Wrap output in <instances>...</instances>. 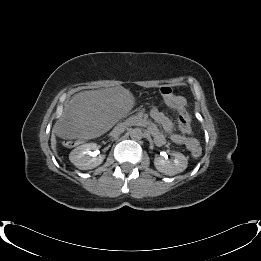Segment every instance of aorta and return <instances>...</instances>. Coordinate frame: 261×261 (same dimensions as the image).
Returning a JSON list of instances; mask_svg holds the SVG:
<instances>
[{
    "instance_id": "obj_1",
    "label": "aorta",
    "mask_w": 261,
    "mask_h": 261,
    "mask_svg": "<svg viewBox=\"0 0 261 261\" xmlns=\"http://www.w3.org/2000/svg\"><path fill=\"white\" fill-rule=\"evenodd\" d=\"M143 136V133L140 128H134L130 131V137L133 140H140Z\"/></svg>"
}]
</instances>
